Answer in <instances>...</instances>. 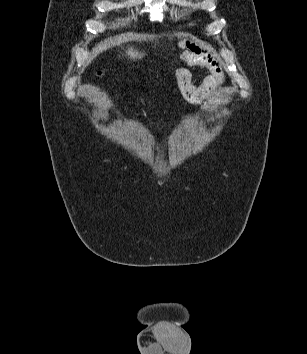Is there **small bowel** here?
<instances>
[{
    "label": "small bowel",
    "instance_id": "obj_1",
    "mask_svg": "<svg viewBox=\"0 0 307 354\" xmlns=\"http://www.w3.org/2000/svg\"><path fill=\"white\" fill-rule=\"evenodd\" d=\"M180 59L185 66L175 71V77L183 97L190 101H198L200 94L223 78V73L218 60L205 48L193 42L181 44ZM189 67H202L209 74L203 83L198 86L193 81Z\"/></svg>",
    "mask_w": 307,
    "mask_h": 354
}]
</instances>
